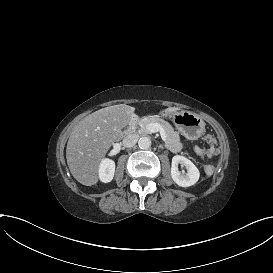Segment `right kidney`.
Here are the masks:
<instances>
[{"instance_id":"ca27d5eb","label":"right kidney","mask_w":273,"mask_h":273,"mask_svg":"<svg viewBox=\"0 0 273 273\" xmlns=\"http://www.w3.org/2000/svg\"><path fill=\"white\" fill-rule=\"evenodd\" d=\"M115 173V162L111 159H103L99 165V178L102 182L112 181Z\"/></svg>"}]
</instances>
